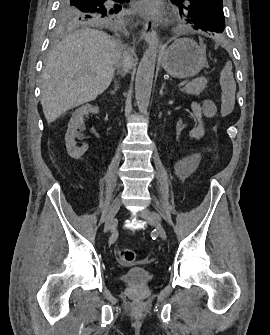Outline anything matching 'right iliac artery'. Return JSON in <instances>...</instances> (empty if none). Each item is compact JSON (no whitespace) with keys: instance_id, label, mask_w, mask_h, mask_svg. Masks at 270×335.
Returning <instances> with one entry per match:
<instances>
[{"instance_id":"right-iliac-artery-1","label":"right iliac artery","mask_w":270,"mask_h":335,"mask_svg":"<svg viewBox=\"0 0 270 335\" xmlns=\"http://www.w3.org/2000/svg\"><path fill=\"white\" fill-rule=\"evenodd\" d=\"M117 236H118V232L116 230H114L112 232V235L110 236V239H109V243H114L117 239Z\"/></svg>"}]
</instances>
